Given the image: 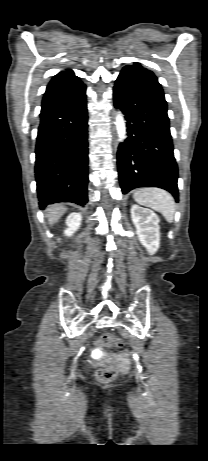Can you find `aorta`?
<instances>
[{
  "instance_id": "1",
  "label": "aorta",
  "mask_w": 208,
  "mask_h": 461,
  "mask_svg": "<svg viewBox=\"0 0 208 461\" xmlns=\"http://www.w3.org/2000/svg\"><path fill=\"white\" fill-rule=\"evenodd\" d=\"M118 137L120 141H123L126 137V126L123 115L118 112L116 114V121H115Z\"/></svg>"
}]
</instances>
